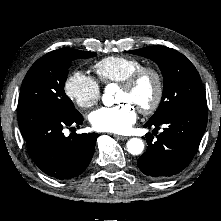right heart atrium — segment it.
<instances>
[{"mask_svg":"<svg viewBox=\"0 0 221 221\" xmlns=\"http://www.w3.org/2000/svg\"><path fill=\"white\" fill-rule=\"evenodd\" d=\"M64 90L72 101L84 109L95 106L101 97L99 82L82 71H73L68 75Z\"/></svg>","mask_w":221,"mask_h":221,"instance_id":"1","label":"right heart atrium"}]
</instances>
